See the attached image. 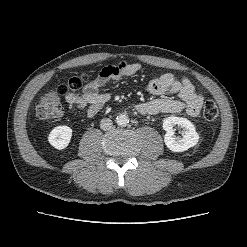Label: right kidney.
I'll list each match as a JSON object with an SVG mask.
<instances>
[{"mask_svg": "<svg viewBox=\"0 0 247 247\" xmlns=\"http://www.w3.org/2000/svg\"><path fill=\"white\" fill-rule=\"evenodd\" d=\"M72 129L68 126H57L49 134V143L58 150L65 149L71 140Z\"/></svg>", "mask_w": 247, "mask_h": 247, "instance_id": "1", "label": "right kidney"}]
</instances>
